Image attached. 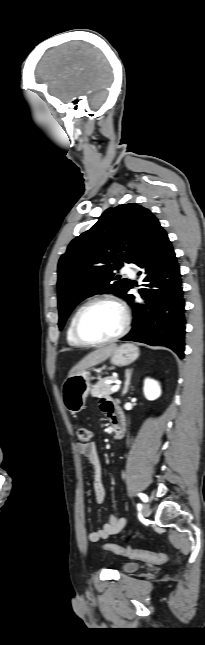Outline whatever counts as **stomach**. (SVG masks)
I'll list each match as a JSON object with an SVG mask.
<instances>
[{"label":"stomach","mask_w":205,"mask_h":645,"mask_svg":"<svg viewBox=\"0 0 205 645\" xmlns=\"http://www.w3.org/2000/svg\"><path fill=\"white\" fill-rule=\"evenodd\" d=\"M138 357V347L127 343L114 350L110 355V362L115 366H127ZM90 388V373L87 371L67 377L62 384V398L66 409L70 413L76 414L84 409Z\"/></svg>","instance_id":"obj_1"}]
</instances>
